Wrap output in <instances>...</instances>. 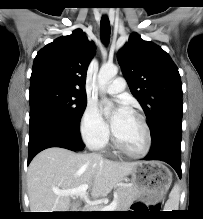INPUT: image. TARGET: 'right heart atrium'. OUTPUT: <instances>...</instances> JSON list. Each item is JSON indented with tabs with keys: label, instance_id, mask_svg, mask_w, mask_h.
<instances>
[{
	"label": "right heart atrium",
	"instance_id": "obj_1",
	"mask_svg": "<svg viewBox=\"0 0 203 219\" xmlns=\"http://www.w3.org/2000/svg\"><path fill=\"white\" fill-rule=\"evenodd\" d=\"M80 133L84 142L94 148L103 147L109 139V128L93 104H88L83 112Z\"/></svg>",
	"mask_w": 203,
	"mask_h": 219
}]
</instances>
